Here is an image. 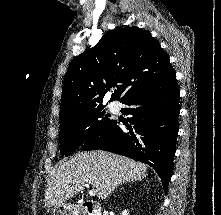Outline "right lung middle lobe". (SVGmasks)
<instances>
[{
	"instance_id": "right-lung-middle-lobe-1",
	"label": "right lung middle lobe",
	"mask_w": 221,
	"mask_h": 215,
	"mask_svg": "<svg viewBox=\"0 0 221 215\" xmlns=\"http://www.w3.org/2000/svg\"><path fill=\"white\" fill-rule=\"evenodd\" d=\"M97 107L76 113L61 120L60 150L62 155H68L79 147L89 136L108 125L112 120Z\"/></svg>"
}]
</instances>
